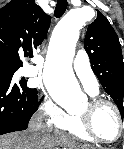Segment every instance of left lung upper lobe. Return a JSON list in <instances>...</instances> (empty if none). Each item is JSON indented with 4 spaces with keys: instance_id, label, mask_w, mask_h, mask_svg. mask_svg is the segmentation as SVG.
<instances>
[{
    "instance_id": "left-lung-upper-lobe-1",
    "label": "left lung upper lobe",
    "mask_w": 124,
    "mask_h": 149,
    "mask_svg": "<svg viewBox=\"0 0 124 149\" xmlns=\"http://www.w3.org/2000/svg\"><path fill=\"white\" fill-rule=\"evenodd\" d=\"M84 47L93 72L118 106L123 118L124 63L121 45L113 27L99 11L96 20L88 26Z\"/></svg>"
}]
</instances>
